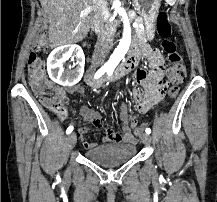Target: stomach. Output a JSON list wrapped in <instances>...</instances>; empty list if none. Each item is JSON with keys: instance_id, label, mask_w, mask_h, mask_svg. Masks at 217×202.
Instances as JSON below:
<instances>
[{"instance_id": "1", "label": "stomach", "mask_w": 217, "mask_h": 202, "mask_svg": "<svg viewBox=\"0 0 217 202\" xmlns=\"http://www.w3.org/2000/svg\"><path fill=\"white\" fill-rule=\"evenodd\" d=\"M162 0H134L135 8L140 14L145 26L147 40H153L155 36L156 20Z\"/></svg>"}]
</instances>
